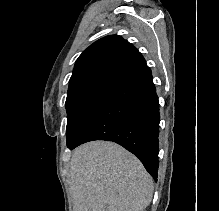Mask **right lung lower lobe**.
Listing matches in <instances>:
<instances>
[{
  "label": "right lung lower lobe",
  "instance_id": "98d812e1",
  "mask_svg": "<svg viewBox=\"0 0 219 211\" xmlns=\"http://www.w3.org/2000/svg\"><path fill=\"white\" fill-rule=\"evenodd\" d=\"M159 121L156 88L145 66L110 90L69 148L93 140L118 143L136 155L156 181Z\"/></svg>",
  "mask_w": 219,
  "mask_h": 211
}]
</instances>
